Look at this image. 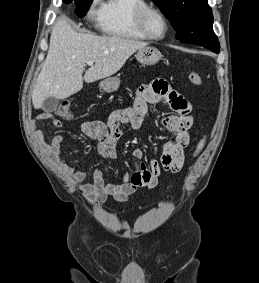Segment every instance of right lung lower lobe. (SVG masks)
<instances>
[{"label": "right lung lower lobe", "instance_id": "1", "mask_svg": "<svg viewBox=\"0 0 259 283\" xmlns=\"http://www.w3.org/2000/svg\"><path fill=\"white\" fill-rule=\"evenodd\" d=\"M72 0H64L65 3H70Z\"/></svg>", "mask_w": 259, "mask_h": 283}]
</instances>
